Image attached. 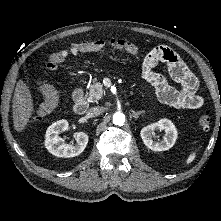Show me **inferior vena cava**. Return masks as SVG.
Instances as JSON below:
<instances>
[{
	"mask_svg": "<svg viewBox=\"0 0 221 221\" xmlns=\"http://www.w3.org/2000/svg\"><path fill=\"white\" fill-rule=\"evenodd\" d=\"M100 113H101L100 107H92L88 110L86 115L88 118H92V117L100 115Z\"/></svg>",
	"mask_w": 221,
	"mask_h": 221,
	"instance_id": "1",
	"label": "inferior vena cava"
}]
</instances>
